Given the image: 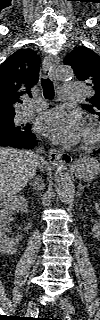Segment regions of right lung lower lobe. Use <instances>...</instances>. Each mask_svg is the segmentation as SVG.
<instances>
[{
	"mask_svg": "<svg viewBox=\"0 0 100 320\" xmlns=\"http://www.w3.org/2000/svg\"><path fill=\"white\" fill-rule=\"evenodd\" d=\"M0 145L15 148L32 149L37 145V141L35 135L30 130L20 135L1 133Z\"/></svg>",
	"mask_w": 100,
	"mask_h": 320,
	"instance_id": "right-lung-lower-lobe-1",
	"label": "right lung lower lobe"
}]
</instances>
